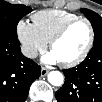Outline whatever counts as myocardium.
Listing matches in <instances>:
<instances>
[{"mask_svg":"<svg viewBox=\"0 0 102 102\" xmlns=\"http://www.w3.org/2000/svg\"><path fill=\"white\" fill-rule=\"evenodd\" d=\"M79 22H83L86 24V26L88 27L89 29V39H88V42L83 50V52L74 60L72 61H68V62H60V65L62 67H65V68H70V67H74V66H77L79 65L80 63H82L85 58L87 57V55L89 54L91 48H92V45H93V41H94V30H93V27L90 23L89 20H87L86 18H81V17H78L74 20H71L69 21L68 23H66L52 38L51 40L49 41V49L52 50L54 45L60 41L64 36L65 34L68 32V30L74 26L76 23H79Z\"/></svg>","mask_w":102,"mask_h":102,"instance_id":"myocardium-1","label":"myocardium"}]
</instances>
